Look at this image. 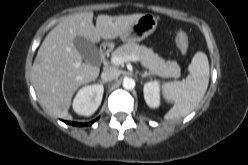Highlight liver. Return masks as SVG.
I'll list each match as a JSON object with an SVG mask.
<instances>
[{
  "mask_svg": "<svg viewBox=\"0 0 248 165\" xmlns=\"http://www.w3.org/2000/svg\"><path fill=\"white\" fill-rule=\"evenodd\" d=\"M142 15H99L94 26L93 12H83L69 15L57 24L42 42L32 67V83L42 108L68 118L75 91L99 75V67L82 61L74 44L77 36L93 44L101 39H115Z\"/></svg>",
  "mask_w": 248,
  "mask_h": 165,
  "instance_id": "liver-1",
  "label": "liver"
}]
</instances>
